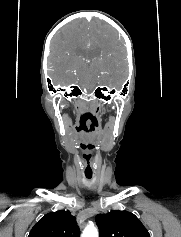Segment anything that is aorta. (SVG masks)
I'll use <instances>...</instances> for the list:
<instances>
[{"mask_svg": "<svg viewBox=\"0 0 181 237\" xmlns=\"http://www.w3.org/2000/svg\"><path fill=\"white\" fill-rule=\"evenodd\" d=\"M81 237H99L98 230L93 224H89L85 227Z\"/></svg>", "mask_w": 181, "mask_h": 237, "instance_id": "1", "label": "aorta"}]
</instances>
